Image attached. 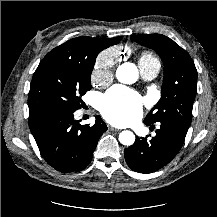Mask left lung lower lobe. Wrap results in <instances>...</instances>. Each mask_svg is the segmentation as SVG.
<instances>
[{"label":"left lung lower lobe","mask_w":217,"mask_h":217,"mask_svg":"<svg viewBox=\"0 0 217 217\" xmlns=\"http://www.w3.org/2000/svg\"><path fill=\"white\" fill-rule=\"evenodd\" d=\"M146 125H151L144 120ZM160 128L152 139L136 138L124 150L127 165L139 173H152L167 165L181 149L189 124L173 118L159 121ZM153 126V125H152Z\"/></svg>","instance_id":"obj_1"}]
</instances>
